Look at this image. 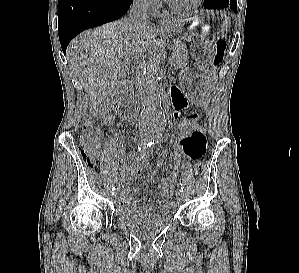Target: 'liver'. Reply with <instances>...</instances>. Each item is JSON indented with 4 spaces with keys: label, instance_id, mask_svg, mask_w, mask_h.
<instances>
[{
    "label": "liver",
    "instance_id": "liver-1",
    "mask_svg": "<svg viewBox=\"0 0 299 273\" xmlns=\"http://www.w3.org/2000/svg\"><path fill=\"white\" fill-rule=\"evenodd\" d=\"M184 21L174 19L170 23ZM154 42L155 29L150 23L134 24L129 18L86 31L71 41L66 56L89 96L91 109L115 90L117 77L127 62L142 58Z\"/></svg>",
    "mask_w": 299,
    "mask_h": 273
}]
</instances>
